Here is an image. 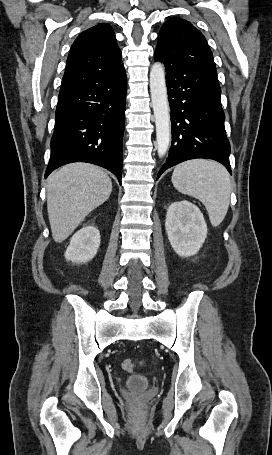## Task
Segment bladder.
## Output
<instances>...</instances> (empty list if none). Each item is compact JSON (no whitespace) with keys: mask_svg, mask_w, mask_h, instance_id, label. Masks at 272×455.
I'll list each match as a JSON object with an SVG mask.
<instances>
[{"mask_svg":"<svg viewBox=\"0 0 272 455\" xmlns=\"http://www.w3.org/2000/svg\"><path fill=\"white\" fill-rule=\"evenodd\" d=\"M126 385L131 390L140 391L148 387L149 380L147 379V377L143 375L135 374L129 376V378L126 381Z\"/></svg>","mask_w":272,"mask_h":455,"instance_id":"bladder-1","label":"bladder"}]
</instances>
